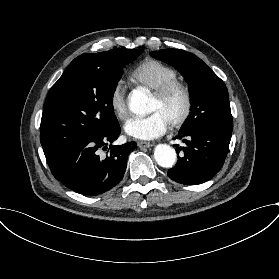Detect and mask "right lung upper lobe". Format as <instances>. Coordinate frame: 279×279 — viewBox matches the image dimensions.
Returning <instances> with one entry per match:
<instances>
[{
    "mask_svg": "<svg viewBox=\"0 0 279 279\" xmlns=\"http://www.w3.org/2000/svg\"><path fill=\"white\" fill-rule=\"evenodd\" d=\"M117 50L118 49H112V50L105 51V52H100V53H95V54H84V55L90 56V57L94 58V60L96 62L101 63L102 61H104V59L106 57H108L109 55L113 54Z\"/></svg>",
    "mask_w": 279,
    "mask_h": 279,
    "instance_id": "right-lung-upper-lobe-1",
    "label": "right lung upper lobe"
}]
</instances>
